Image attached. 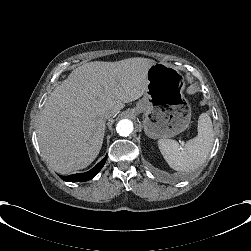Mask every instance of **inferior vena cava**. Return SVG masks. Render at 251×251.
Masks as SVG:
<instances>
[{
	"label": "inferior vena cava",
	"mask_w": 251,
	"mask_h": 251,
	"mask_svg": "<svg viewBox=\"0 0 251 251\" xmlns=\"http://www.w3.org/2000/svg\"><path fill=\"white\" fill-rule=\"evenodd\" d=\"M114 116H115V113L112 114V117H114Z\"/></svg>",
	"instance_id": "602c4592"
}]
</instances>
